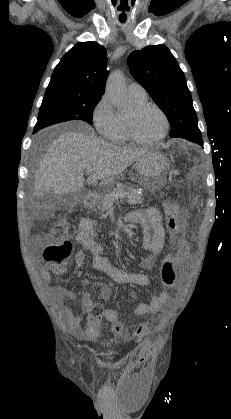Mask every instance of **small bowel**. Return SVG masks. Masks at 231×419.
Here are the masks:
<instances>
[{"instance_id": "1", "label": "small bowel", "mask_w": 231, "mask_h": 419, "mask_svg": "<svg viewBox=\"0 0 231 419\" xmlns=\"http://www.w3.org/2000/svg\"><path fill=\"white\" fill-rule=\"evenodd\" d=\"M131 222L138 223L142 228V245L147 252L145 265L148 268L154 266L156 255L162 250L165 243V231L162 223L160 211L157 208H148L132 213L129 216ZM76 241L82 246L75 254L74 260L77 267L83 266L86 258L85 251L90 254L91 266L97 270L105 272L118 284H134L139 286H147L149 278L143 273L128 272L115 266L108 258L104 256V245L99 241L97 233V223L91 218H83L79 223V229L75 237ZM176 264L182 263L188 259L190 254V244L186 238H182L176 249ZM55 272L60 269L57 266L51 268ZM41 277L46 283L50 282V273L48 270L41 272ZM54 302L61 305V299L66 291L62 288H55ZM101 295L104 299L111 297V291L104 287L102 288ZM170 294L166 291L154 294L151 301L148 303L140 304L134 314L138 317L153 316L162 312L163 306L168 304L166 298ZM81 305L83 310L88 314L87 326L81 328V318L76 315L68 307H63V314L67 319V327L69 332L80 339L94 340L99 335L101 318H94L90 314L91 307L94 301L89 292L85 291L82 294ZM105 318L110 322L121 320V316L116 310L107 309L104 312Z\"/></svg>"}]
</instances>
